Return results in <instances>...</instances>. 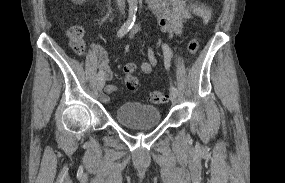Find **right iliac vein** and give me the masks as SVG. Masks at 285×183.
I'll return each instance as SVG.
<instances>
[{
	"label": "right iliac vein",
	"instance_id": "63e3f726",
	"mask_svg": "<svg viewBox=\"0 0 285 183\" xmlns=\"http://www.w3.org/2000/svg\"><path fill=\"white\" fill-rule=\"evenodd\" d=\"M104 84H105L104 78L98 79V81H97V88H98L99 91L102 90V88L104 87Z\"/></svg>",
	"mask_w": 285,
	"mask_h": 183
}]
</instances>
